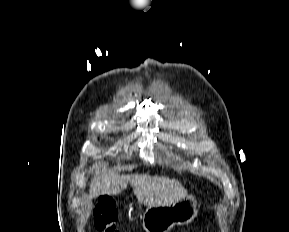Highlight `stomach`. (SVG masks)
Wrapping results in <instances>:
<instances>
[{"label": "stomach", "instance_id": "0dacf381", "mask_svg": "<svg viewBox=\"0 0 289 232\" xmlns=\"http://www.w3.org/2000/svg\"><path fill=\"white\" fill-rule=\"evenodd\" d=\"M197 212L194 197L186 196L168 205L148 207L142 216V225L146 232H168L175 225L191 222Z\"/></svg>", "mask_w": 289, "mask_h": 232}]
</instances>
